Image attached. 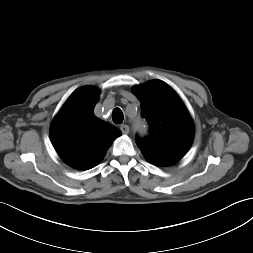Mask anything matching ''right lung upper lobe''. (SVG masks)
<instances>
[{"instance_id": "right-lung-upper-lobe-1", "label": "right lung upper lobe", "mask_w": 253, "mask_h": 253, "mask_svg": "<svg viewBox=\"0 0 253 253\" xmlns=\"http://www.w3.org/2000/svg\"><path fill=\"white\" fill-rule=\"evenodd\" d=\"M99 89H77L56 115L50 130L58 155L71 167L90 169L105 156L112 142L121 135L115 126L94 115Z\"/></svg>"}]
</instances>
